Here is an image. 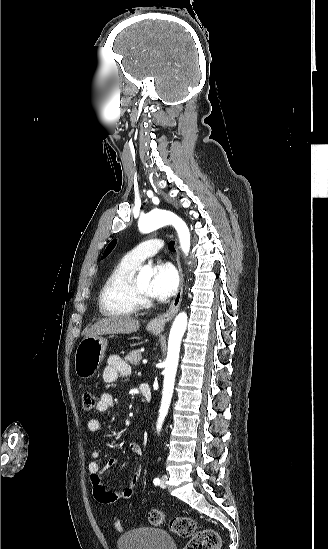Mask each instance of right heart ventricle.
Returning a JSON list of instances; mask_svg holds the SVG:
<instances>
[{
    "label": "right heart ventricle",
    "mask_w": 328,
    "mask_h": 549,
    "mask_svg": "<svg viewBox=\"0 0 328 549\" xmlns=\"http://www.w3.org/2000/svg\"><path fill=\"white\" fill-rule=\"evenodd\" d=\"M139 265V262L130 260L126 254L108 275L98 296L101 319H135L136 312L124 308V305L131 304L125 295V288Z\"/></svg>",
    "instance_id": "e07e8e85"
}]
</instances>
